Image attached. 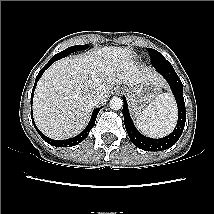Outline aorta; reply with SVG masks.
Wrapping results in <instances>:
<instances>
[{
  "label": "aorta",
  "instance_id": "aorta-1",
  "mask_svg": "<svg viewBox=\"0 0 214 214\" xmlns=\"http://www.w3.org/2000/svg\"><path fill=\"white\" fill-rule=\"evenodd\" d=\"M110 107L112 110H119L123 107V100L120 97H113L110 100Z\"/></svg>",
  "mask_w": 214,
  "mask_h": 214
}]
</instances>
